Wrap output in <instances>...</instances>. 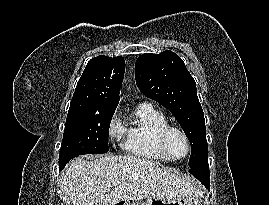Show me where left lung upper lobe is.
Returning <instances> with one entry per match:
<instances>
[{
    "label": "left lung upper lobe",
    "mask_w": 269,
    "mask_h": 205,
    "mask_svg": "<svg viewBox=\"0 0 269 205\" xmlns=\"http://www.w3.org/2000/svg\"><path fill=\"white\" fill-rule=\"evenodd\" d=\"M139 90L177 119L191 143L189 169L208 161L205 119L196 83L183 60L172 51L145 53L135 65Z\"/></svg>",
    "instance_id": "1"
}]
</instances>
